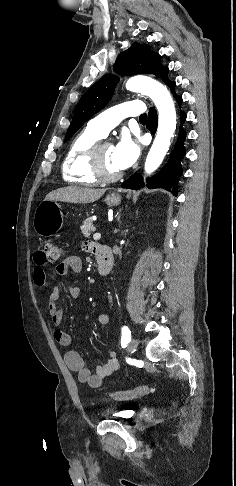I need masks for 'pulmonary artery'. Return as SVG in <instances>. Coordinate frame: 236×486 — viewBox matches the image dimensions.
<instances>
[{"instance_id": "e3ab8cb5", "label": "pulmonary artery", "mask_w": 236, "mask_h": 486, "mask_svg": "<svg viewBox=\"0 0 236 486\" xmlns=\"http://www.w3.org/2000/svg\"><path fill=\"white\" fill-rule=\"evenodd\" d=\"M146 107L140 100H133L116 105L88 122L87 127L104 137L117 126L124 118L141 116Z\"/></svg>"}]
</instances>
